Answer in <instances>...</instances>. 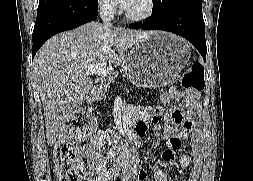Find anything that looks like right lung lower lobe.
<instances>
[{"mask_svg": "<svg viewBox=\"0 0 253 181\" xmlns=\"http://www.w3.org/2000/svg\"><path fill=\"white\" fill-rule=\"evenodd\" d=\"M97 11L98 5H92L85 0L67 1L37 10L32 35V58L51 36L96 19Z\"/></svg>", "mask_w": 253, "mask_h": 181, "instance_id": "obj_1", "label": "right lung lower lobe"}]
</instances>
